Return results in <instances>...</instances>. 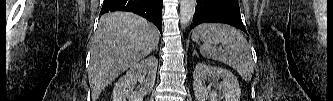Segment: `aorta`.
Returning <instances> with one entry per match:
<instances>
[{
  "instance_id": "aorta-1",
  "label": "aorta",
  "mask_w": 333,
  "mask_h": 101,
  "mask_svg": "<svg viewBox=\"0 0 333 101\" xmlns=\"http://www.w3.org/2000/svg\"><path fill=\"white\" fill-rule=\"evenodd\" d=\"M196 6V0H181L180 1V22L182 28H186L192 19Z\"/></svg>"
}]
</instances>
